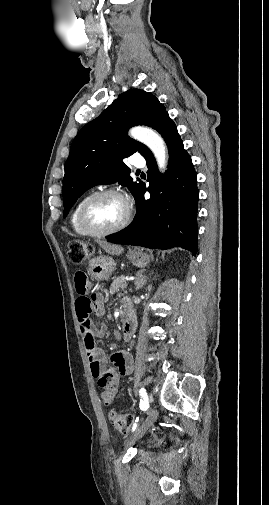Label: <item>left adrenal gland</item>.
Listing matches in <instances>:
<instances>
[{
  "label": "left adrenal gland",
  "instance_id": "1",
  "mask_svg": "<svg viewBox=\"0 0 269 505\" xmlns=\"http://www.w3.org/2000/svg\"><path fill=\"white\" fill-rule=\"evenodd\" d=\"M146 282H147V277L143 275V271L138 272L137 278L135 281L136 290H139L140 288H142L146 284Z\"/></svg>",
  "mask_w": 269,
  "mask_h": 505
}]
</instances>
